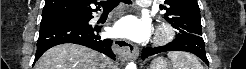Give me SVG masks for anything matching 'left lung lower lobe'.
Here are the masks:
<instances>
[{
    "label": "left lung lower lobe",
    "mask_w": 246,
    "mask_h": 69,
    "mask_svg": "<svg viewBox=\"0 0 246 69\" xmlns=\"http://www.w3.org/2000/svg\"><path fill=\"white\" fill-rule=\"evenodd\" d=\"M165 51L191 52L201 58L207 65H209L205 52V44L201 36L189 33L179 34L172 42L165 46L144 48L142 50V58L145 59L150 55Z\"/></svg>",
    "instance_id": "1"
}]
</instances>
